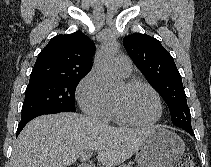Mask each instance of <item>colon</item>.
Masks as SVG:
<instances>
[{
  "label": "colon",
  "instance_id": "5ec220e1",
  "mask_svg": "<svg viewBox=\"0 0 211 167\" xmlns=\"http://www.w3.org/2000/svg\"><path fill=\"white\" fill-rule=\"evenodd\" d=\"M176 167H197L193 156L189 153L184 154Z\"/></svg>",
  "mask_w": 211,
  "mask_h": 167
}]
</instances>
